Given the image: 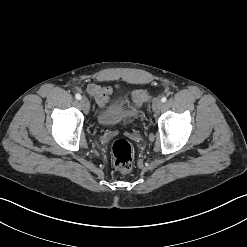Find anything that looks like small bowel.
<instances>
[{"mask_svg":"<svg viewBox=\"0 0 247 247\" xmlns=\"http://www.w3.org/2000/svg\"><path fill=\"white\" fill-rule=\"evenodd\" d=\"M119 89H120L119 85L115 87H111V86H102L95 83H90L86 88L87 92L95 98L97 104L101 108H106L110 102L115 101L112 99V96L114 91ZM131 97H132V104L131 106L126 107L127 110L139 108L143 103L147 101L148 94L146 91L142 89H135L131 92Z\"/></svg>","mask_w":247,"mask_h":247,"instance_id":"1","label":"small bowel"}]
</instances>
